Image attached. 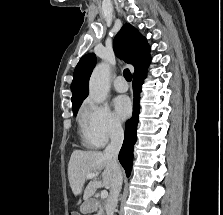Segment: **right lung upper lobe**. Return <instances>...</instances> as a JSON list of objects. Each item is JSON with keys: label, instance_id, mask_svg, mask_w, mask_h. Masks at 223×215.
I'll list each match as a JSON object with an SVG mask.
<instances>
[{"label": "right lung upper lobe", "instance_id": "1", "mask_svg": "<svg viewBox=\"0 0 223 215\" xmlns=\"http://www.w3.org/2000/svg\"><path fill=\"white\" fill-rule=\"evenodd\" d=\"M113 47L118 57L134 66V74L145 72L148 68L151 48L146 39L129 23L117 33ZM95 64L96 56L93 53L84 55L78 62L71 84L72 109L79 108L87 97L88 82Z\"/></svg>", "mask_w": 223, "mask_h": 215}]
</instances>
